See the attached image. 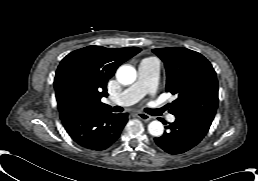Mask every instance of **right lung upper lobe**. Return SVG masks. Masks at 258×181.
I'll list each match as a JSON object with an SVG mask.
<instances>
[{
    "instance_id": "cb5924a9",
    "label": "right lung upper lobe",
    "mask_w": 258,
    "mask_h": 181,
    "mask_svg": "<svg viewBox=\"0 0 258 181\" xmlns=\"http://www.w3.org/2000/svg\"><path fill=\"white\" fill-rule=\"evenodd\" d=\"M140 52V48L88 46L63 58L54 79L60 116L78 109H110L101 102L107 82L116 69Z\"/></svg>"
}]
</instances>
